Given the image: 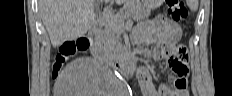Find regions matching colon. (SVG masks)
<instances>
[{
	"instance_id": "5ec220e1",
	"label": "colon",
	"mask_w": 232,
	"mask_h": 96,
	"mask_svg": "<svg viewBox=\"0 0 232 96\" xmlns=\"http://www.w3.org/2000/svg\"><path fill=\"white\" fill-rule=\"evenodd\" d=\"M167 19L170 22H174L175 25L185 24L188 21V11L181 0H167ZM157 22V20H155ZM179 30H175V35H167L169 38H175L178 35ZM88 48V41L85 38H80L76 41H66L55 55L54 62L52 64V75L55 78L63 64L69 58L73 57L77 52H83ZM159 51L164 53V56L168 58L171 67L176 74L188 73V67L185 63L187 58V52L185 46H166Z\"/></svg>"
}]
</instances>
